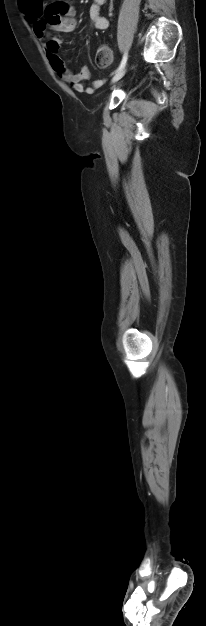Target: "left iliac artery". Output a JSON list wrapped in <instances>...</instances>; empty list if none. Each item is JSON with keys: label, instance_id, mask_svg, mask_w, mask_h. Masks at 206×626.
<instances>
[{"label": "left iliac artery", "instance_id": "left-iliac-artery-1", "mask_svg": "<svg viewBox=\"0 0 206 626\" xmlns=\"http://www.w3.org/2000/svg\"><path fill=\"white\" fill-rule=\"evenodd\" d=\"M127 58H128V53L125 52L124 55H123L122 61H121L120 65H119L118 69L115 71V73L120 71L125 66V64L127 62Z\"/></svg>", "mask_w": 206, "mask_h": 626}]
</instances>
